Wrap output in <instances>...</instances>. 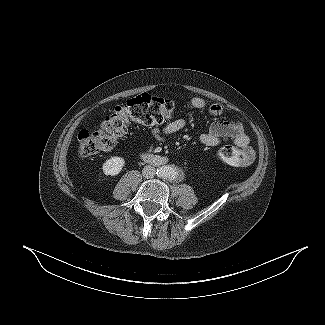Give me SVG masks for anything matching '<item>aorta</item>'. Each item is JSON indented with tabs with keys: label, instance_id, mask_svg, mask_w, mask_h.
Instances as JSON below:
<instances>
[{
	"label": "aorta",
	"instance_id": "obj_1",
	"mask_svg": "<svg viewBox=\"0 0 325 325\" xmlns=\"http://www.w3.org/2000/svg\"><path fill=\"white\" fill-rule=\"evenodd\" d=\"M157 175L164 179L174 180L178 177V171L172 166H161L157 169Z\"/></svg>",
	"mask_w": 325,
	"mask_h": 325
}]
</instances>
